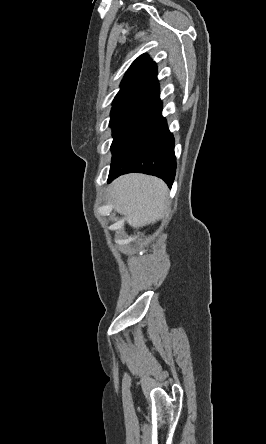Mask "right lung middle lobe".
<instances>
[{
	"mask_svg": "<svg viewBox=\"0 0 266 444\" xmlns=\"http://www.w3.org/2000/svg\"><path fill=\"white\" fill-rule=\"evenodd\" d=\"M162 111L160 100L153 97H130L113 102L109 126L113 131L112 155L118 154Z\"/></svg>",
	"mask_w": 266,
	"mask_h": 444,
	"instance_id": "obj_1",
	"label": "right lung middle lobe"
}]
</instances>
